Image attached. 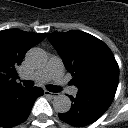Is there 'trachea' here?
Masks as SVG:
<instances>
[{
	"instance_id": "obj_1",
	"label": "trachea",
	"mask_w": 128,
	"mask_h": 128,
	"mask_svg": "<svg viewBox=\"0 0 128 128\" xmlns=\"http://www.w3.org/2000/svg\"><path fill=\"white\" fill-rule=\"evenodd\" d=\"M23 85L26 86V87H32L34 85V82L30 81V80H24ZM46 88L50 92H59V91H61V87L55 86V85H47Z\"/></svg>"
}]
</instances>
